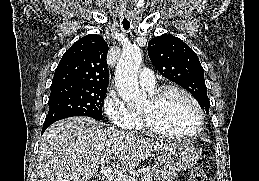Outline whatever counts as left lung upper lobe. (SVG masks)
Masks as SVG:
<instances>
[{
    "label": "left lung upper lobe",
    "instance_id": "left-lung-upper-lobe-1",
    "mask_svg": "<svg viewBox=\"0 0 259 181\" xmlns=\"http://www.w3.org/2000/svg\"><path fill=\"white\" fill-rule=\"evenodd\" d=\"M148 55L160 74L188 90L209 113L204 70L197 54L187 44L175 36L164 34L149 41Z\"/></svg>",
    "mask_w": 259,
    "mask_h": 181
}]
</instances>
